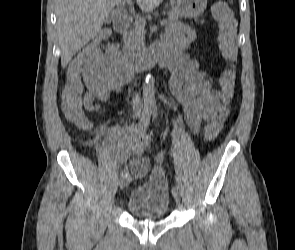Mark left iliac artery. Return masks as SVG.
Returning a JSON list of instances; mask_svg holds the SVG:
<instances>
[{"label":"left iliac artery","instance_id":"left-iliac-artery-1","mask_svg":"<svg viewBox=\"0 0 295 250\" xmlns=\"http://www.w3.org/2000/svg\"><path fill=\"white\" fill-rule=\"evenodd\" d=\"M150 111H151V114L153 116V119H156L157 116H158L157 108L155 106H153ZM176 191H178L177 187L173 186L172 187V193H174Z\"/></svg>","mask_w":295,"mask_h":250}]
</instances>
